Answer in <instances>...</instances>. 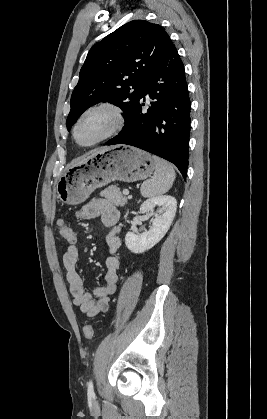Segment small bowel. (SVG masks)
Masks as SVG:
<instances>
[{
	"label": "small bowel",
	"instance_id": "1",
	"mask_svg": "<svg viewBox=\"0 0 267 419\" xmlns=\"http://www.w3.org/2000/svg\"><path fill=\"white\" fill-rule=\"evenodd\" d=\"M75 216L81 220L100 217L102 224L110 229L106 235V243L110 255L105 262L104 285L94 288L92 292L86 291L84 279L78 272L79 249L75 242L69 243L63 256L66 279L73 304L78 306L80 311L88 317H94L108 310L110 296L117 289L120 259L116 253L121 244L120 229L117 227V222L120 214L115 205L109 200L94 198L79 208Z\"/></svg>",
	"mask_w": 267,
	"mask_h": 419
}]
</instances>
